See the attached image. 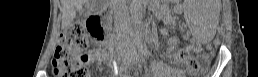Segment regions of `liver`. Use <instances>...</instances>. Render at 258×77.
<instances>
[{
	"label": "liver",
	"mask_w": 258,
	"mask_h": 77,
	"mask_svg": "<svg viewBox=\"0 0 258 77\" xmlns=\"http://www.w3.org/2000/svg\"><path fill=\"white\" fill-rule=\"evenodd\" d=\"M89 0H61L62 4V27L71 24L76 16V10L80 11L84 4H88Z\"/></svg>",
	"instance_id": "1"
}]
</instances>
